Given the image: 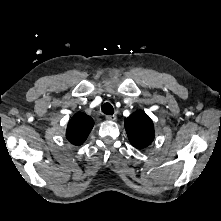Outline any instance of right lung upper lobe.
Segmentation results:
<instances>
[{"instance_id": "obj_1", "label": "right lung upper lobe", "mask_w": 221, "mask_h": 221, "mask_svg": "<svg viewBox=\"0 0 221 221\" xmlns=\"http://www.w3.org/2000/svg\"><path fill=\"white\" fill-rule=\"evenodd\" d=\"M94 125L93 119L85 113H76L68 123L66 138L74 145H81L88 137Z\"/></svg>"}]
</instances>
